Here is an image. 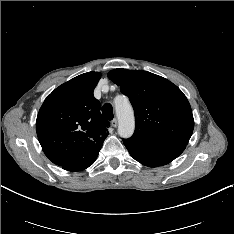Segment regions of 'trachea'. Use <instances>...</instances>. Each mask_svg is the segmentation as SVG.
I'll return each mask as SVG.
<instances>
[{"label": "trachea", "instance_id": "trachea-1", "mask_svg": "<svg viewBox=\"0 0 234 234\" xmlns=\"http://www.w3.org/2000/svg\"><path fill=\"white\" fill-rule=\"evenodd\" d=\"M102 113L108 120H112L114 117L112 105L110 103L104 104L102 107Z\"/></svg>", "mask_w": 234, "mask_h": 234}]
</instances>
